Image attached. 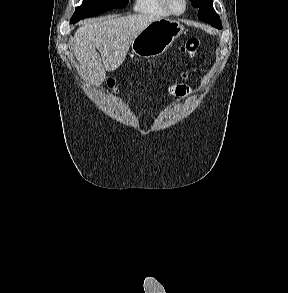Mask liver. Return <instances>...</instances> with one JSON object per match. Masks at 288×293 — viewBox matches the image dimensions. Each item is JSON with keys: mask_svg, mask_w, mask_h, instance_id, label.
<instances>
[{"mask_svg": "<svg viewBox=\"0 0 288 293\" xmlns=\"http://www.w3.org/2000/svg\"><path fill=\"white\" fill-rule=\"evenodd\" d=\"M160 18L157 14H134L93 19L79 27L74 35L73 51L83 79L100 86L106 71H114L122 65L133 39Z\"/></svg>", "mask_w": 288, "mask_h": 293, "instance_id": "liver-1", "label": "liver"}]
</instances>
